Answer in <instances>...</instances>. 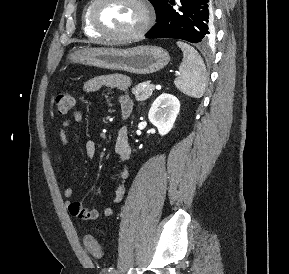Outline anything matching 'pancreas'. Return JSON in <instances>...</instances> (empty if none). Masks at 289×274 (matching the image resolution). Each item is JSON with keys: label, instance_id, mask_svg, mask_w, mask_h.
<instances>
[{"label": "pancreas", "instance_id": "obj_1", "mask_svg": "<svg viewBox=\"0 0 289 274\" xmlns=\"http://www.w3.org/2000/svg\"><path fill=\"white\" fill-rule=\"evenodd\" d=\"M152 84H150V81L142 82L136 85L134 88H132V93L135 95V98L137 101H144L148 99L152 91L150 90Z\"/></svg>", "mask_w": 289, "mask_h": 274}]
</instances>
